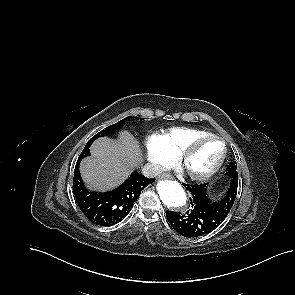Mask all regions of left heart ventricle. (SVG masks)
<instances>
[{"label":"left heart ventricle","mask_w":295,"mask_h":295,"mask_svg":"<svg viewBox=\"0 0 295 295\" xmlns=\"http://www.w3.org/2000/svg\"><path fill=\"white\" fill-rule=\"evenodd\" d=\"M222 146L220 142L209 140L202 143L190 156L186 164V170L201 174L210 170L220 157Z\"/></svg>","instance_id":"b2bd125f"}]
</instances>
